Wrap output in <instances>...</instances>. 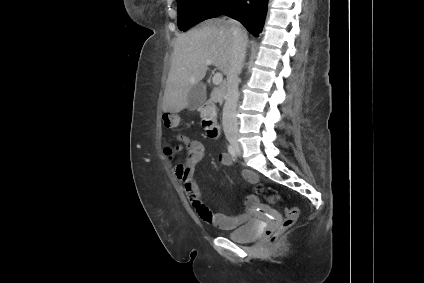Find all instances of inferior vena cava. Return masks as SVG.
Wrapping results in <instances>:
<instances>
[{
  "mask_svg": "<svg viewBox=\"0 0 424 283\" xmlns=\"http://www.w3.org/2000/svg\"><path fill=\"white\" fill-rule=\"evenodd\" d=\"M229 23L233 35V47L230 58V68L227 75V93L222 117L223 130L227 137L231 134H237L238 132V121L236 118L237 102L239 98L238 83L247 47V34L242 25L234 19H230Z\"/></svg>",
  "mask_w": 424,
  "mask_h": 283,
  "instance_id": "inferior-vena-cava-1",
  "label": "inferior vena cava"
}]
</instances>
